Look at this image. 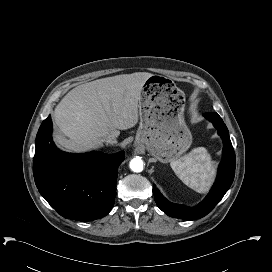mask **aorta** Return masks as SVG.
<instances>
[{
  "mask_svg": "<svg viewBox=\"0 0 272 272\" xmlns=\"http://www.w3.org/2000/svg\"><path fill=\"white\" fill-rule=\"evenodd\" d=\"M130 169L133 171V172H142L143 171V167H144V164H143V161L140 157H136V158H133L131 161H130Z\"/></svg>",
  "mask_w": 272,
  "mask_h": 272,
  "instance_id": "obj_1",
  "label": "aorta"
}]
</instances>
